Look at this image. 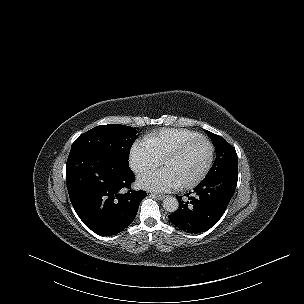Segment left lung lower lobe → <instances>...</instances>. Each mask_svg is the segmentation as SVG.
<instances>
[{
	"label": "left lung lower lobe",
	"mask_w": 304,
	"mask_h": 304,
	"mask_svg": "<svg viewBox=\"0 0 304 304\" xmlns=\"http://www.w3.org/2000/svg\"><path fill=\"white\" fill-rule=\"evenodd\" d=\"M238 169L229 170L213 178L202 180L186 198L178 196L179 209L169 215L170 221L188 233L211 228L225 212L237 185Z\"/></svg>",
	"instance_id": "left-lung-lower-lobe-1"
}]
</instances>
